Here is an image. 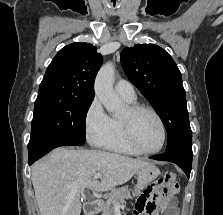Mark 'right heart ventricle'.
Returning <instances> with one entry per match:
<instances>
[{
	"label": "right heart ventricle",
	"instance_id": "e07e8e85",
	"mask_svg": "<svg viewBox=\"0 0 223 215\" xmlns=\"http://www.w3.org/2000/svg\"><path fill=\"white\" fill-rule=\"evenodd\" d=\"M128 102L131 104L134 103V101ZM101 145L104 149L112 152L134 155V152L128 147L124 140L123 129L121 125V116L112 118V128L108 135L101 142Z\"/></svg>",
	"mask_w": 223,
	"mask_h": 215
}]
</instances>
